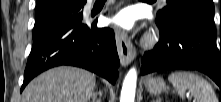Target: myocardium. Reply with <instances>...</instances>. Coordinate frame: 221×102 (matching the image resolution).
<instances>
[{
	"label": "myocardium",
	"mask_w": 221,
	"mask_h": 102,
	"mask_svg": "<svg viewBox=\"0 0 221 102\" xmlns=\"http://www.w3.org/2000/svg\"><path fill=\"white\" fill-rule=\"evenodd\" d=\"M153 41H154V38H152V37L149 38V40H148L149 43H152Z\"/></svg>",
	"instance_id": "myocardium-1"
}]
</instances>
